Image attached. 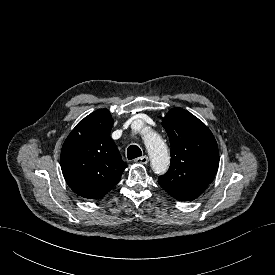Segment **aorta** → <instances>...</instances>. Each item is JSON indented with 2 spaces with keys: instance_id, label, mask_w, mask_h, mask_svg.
<instances>
[{
  "instance_id": "obj_1",
  "label": "aorta",
  "mask_w": 275,
  "mask_h": 275,
  "mask_svg": "<svg viewBox=\"0 0 275 275\" xmlns=\"http://www.w3.org/2000/svg\"><path fill=\"white\" fill-rule=\"evenodd\" d=\"M144 143L153 170L158 174L164 173L170 163V157L166 144L162 138L153 131H150L144 135Z\"/></svg>"
}]
</instances>
